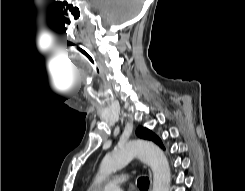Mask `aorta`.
Wrapping results in <instances>:
<instances>
[{"label": "aorta", "mask_w": 245, "mask_h": 191, "mask_svg": "<svg viewBox=\"0 0 245 191\" xmlns=\"http://www.w3.org/2000/svg\"><path fill=\"white\" fill-rule=\"evenodd\" d=\"M134 157H139L152 169V191H169L171 172L168 160L158 146L144 140L130 141L106 155L100 164L96 184L99 185L107 176L122 169Z\"/></svg>", "instance_id": "obj_1"}]
</instances>
